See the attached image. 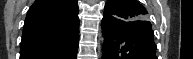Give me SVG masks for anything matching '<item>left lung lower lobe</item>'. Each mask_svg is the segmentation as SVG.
Instances as JSON below:
<instances>
[{"instance_id":"1","label":"left lung lower lobe","mask_w":193,"mask_h":59,"mask_svg":"<svg viewBox=\"0 0 193 59\" xmlns=\"http://www.w3.org/2000/svg\"><path fill=\"white\" fill-rule=\"evenodd\" d=\"M102 59H157L154 32L148 21L131 24L104 14Z\"/></svg>"}]
</instances>
